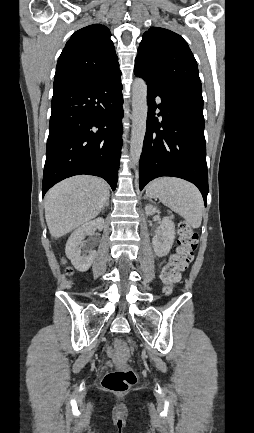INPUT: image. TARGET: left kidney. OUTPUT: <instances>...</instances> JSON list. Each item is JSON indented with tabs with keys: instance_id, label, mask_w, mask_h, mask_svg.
<instances>
[{
	"instance_id": "5707ae66",
	"label": "left kidney",
	"mask_w": 254,
	"mask_h": 433,
	"mask_svg": "<svg viewBox=\"0 0 254 433\" xmlns=\"http://www.w3.org/2000/svg\"><path fill=\"white\" fill-rule=\"evenodd\" d=\"M145 211L147 215H153L158 212L157 208L152 205H146ZM160 232L152 239V245L155 254L158 257L166 256L175 239V225L169 217H164L160 224Z\"/></svg>"
}]
</instances>
